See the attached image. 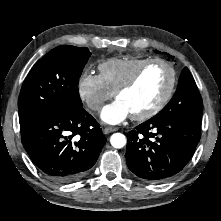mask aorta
I'll use <instances>...</instances> for the list:
<instances>
[{
	"instance_id": "762f6f07",
	"label": "aorta",
	"mask_w": 221,
	"mask_h": 221,
	"mask_svg": "<svg viewBox=\"0 0 221 221\" xmlns=\"http://www.w3.org/2000/svg\"><path fill=\"white\" fill-rule=\"evenodd\" d=\"M127 139L122 133H114L110 138V143L114 148L120 149L125 146Z\"/></svg>"
}]
</instances>
